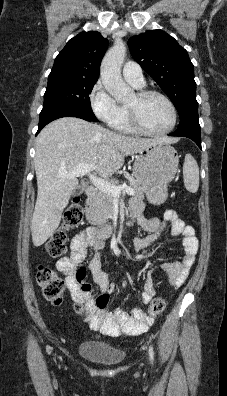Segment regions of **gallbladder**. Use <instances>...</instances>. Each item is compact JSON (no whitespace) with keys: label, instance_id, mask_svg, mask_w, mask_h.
I'll list each match as a JSON object with an SVG mask.
<instances>
[{"label":"gallbladder","instance_id":"1","mask_svg":"<svg viewBox=\"0 0 227 396\" xmlns=\"http://www.w3.org/2000/svg\"><path fill=\"white\" fill-rule=\"evenodd\" d=\"M83 192V187L79 186L77 187V189L74 191V195H78L81 194Z\"/></svg>","mask_w":227,"mask_h":396}]
</instances>
